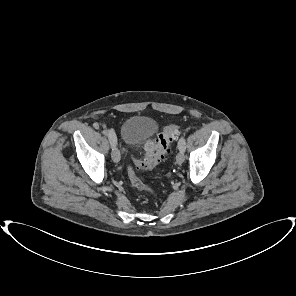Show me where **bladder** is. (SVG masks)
Returning <instances> with one entry per match:
<instances>
[{"mask_svg": "<svg viewBox=\"0 0 296 296\" xmlns=\"http://www.w3.org/2000/svg\"><path fill=\"white\" fill-rule=\"evenodd\" d=\"M157 128L154 119L148 116L134 115L123 122L121 137L127 146L133 147L150 138Z\"/></svg>", "mask_w": 296, "mask_h": 296, "instance_id": "bladder-1", "label": "bladder"}]
</instances>
